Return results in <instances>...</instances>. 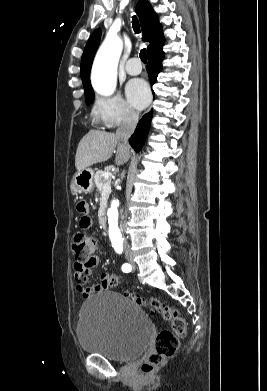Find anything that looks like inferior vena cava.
I'll use <instances>...</instances> for the list:
<instances>
[{"label":"inferior vena cava","mask_w":267,"mask_h":391,"mask_svg":"<svg viewBox=\"0 0 267 391\" xmlns=\"http://www.w3.org/2000/svg\"><path fill=\"white\" fill-rule=\"evenodd\" d=\"M137 123H138V114L130 110L126 113L122 123L116 130V137L120 140L125 150H129L128 140L130 136L133 134ZM129 248L130 246L125 239L124 241L125 251H129Z\"/></svg>","instance_id":"inferior-vena-cava-1"}]
</instances>
